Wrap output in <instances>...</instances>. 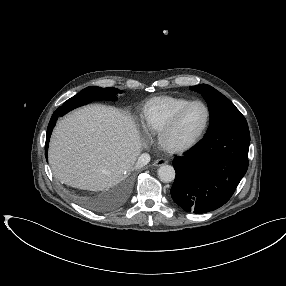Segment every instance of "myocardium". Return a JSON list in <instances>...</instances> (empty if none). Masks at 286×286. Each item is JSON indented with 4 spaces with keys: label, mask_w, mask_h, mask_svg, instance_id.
Here are the masks:
<instances>
[{
    "label": "myocardium",
    "mask_w": 286,
    "mask_h": 286,
    "mask_svg": "<svg viewBox=\"0 0 286 286\" xmlns=\"http://www.w3.org/2000/svg\"><path fill=\"white\" fill-rule=\"evenodd\" d=\"M200 104L202 105L206 110V122L205 125L200 132V134L192 140L190 143L183 145V146H171L167 142V137L169 133L176 127V125L179 123L183 115L186 113V111L192 107L193 105ZM211 123V111L208 105L201 101V100H193L186 104L184 107H182L159 131L158 133V144L164 151L171 153V154H182L185 153L194 147H196L201 140L205 137L206 133L208 132V129L210 127Z\"/></svg>",
    "instance_id": "1"
}]
</instances>
